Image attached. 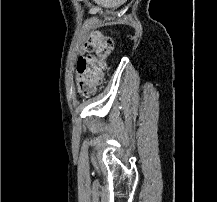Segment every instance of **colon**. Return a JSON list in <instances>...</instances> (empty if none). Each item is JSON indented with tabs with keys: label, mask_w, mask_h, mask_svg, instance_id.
<instances>
[{
	"label": "colon",
	"mask_w": 217,
	"mask_h": 202,
	"mask_svg": "<svg viewBox=\"0 0 217 202\" xmlns=\"http://www.w3.org/2000/svg\"><path fill=\"white\" fill-rule=\"evenodd\" d=\"M86 41H90L86 45V49H80V54H88L86 56H78L75 59L77 64L76 73L79 74L78 86L83 94H91L98 91L104 71L106 69L105 59L114 47V41L109 37H102L100 33H94L86 36Z\"/></svg>",
	"instance_id": "1"
}]
</instances>
